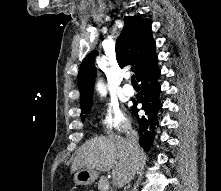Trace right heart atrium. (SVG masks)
<instances>
[{
	"label": "right heart atrium",
	"mask_w": 221,
	"mask_h": 191,
	"mask_svg": "<svg viewBox=\"0 0 221 191\" xmlns=\"http://www.w3.org/2000/svg\"><path fill=\"white\" fill-rule=\"evenodd\" d=\"M100 125L108 133H123L129 129V122L120 108L108 106L100 115Z\"/></svg>",
	"instance_id": "obj_1"
}]
</instances>
